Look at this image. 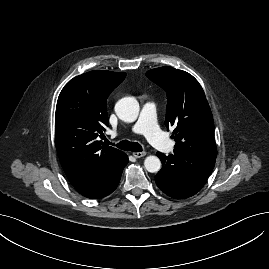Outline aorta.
Here are the masks:
<instances>
[{
  "instance_id": "aorta-1",
  "label": "aorta",
  "mask_w": 269,
  "mask_h": 269,
  "mask_svg": "<svg viewBox=\"0 0 269 269\" xmlns=\"http://www.w3.org/2000/svg\"><path fill=\"white\" fill-rule=\"evenodd\" d=\"M139 103L134 97H124L115 105L117 116L124 122H134L139 114ZM144 167L150 173H156L161 169V161L157 156H147Z\"/></svg>"
}]
</instances>
